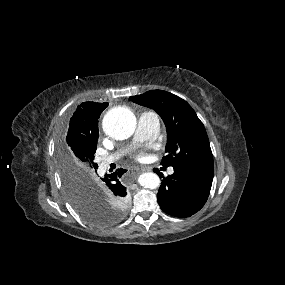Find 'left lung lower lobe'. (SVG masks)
<instances>
[{"mask_svg":"<svg viewBox=\"0 0 285 285\" xmlns=\"http://www.w3.org/2000/svg\"><path fill=\"white\" fill-rule=\"evenodd\" d=\"M213 172V169L174 167V173L162 180L157 194L161 209L180 218L199 211L209 196Z\"/></svg>","mask_w":285,"mask_h":285,"instance_id":"0a47b994","label":"left lung lower lobe"}]
</instances>
